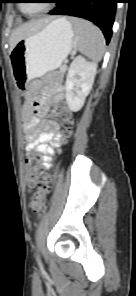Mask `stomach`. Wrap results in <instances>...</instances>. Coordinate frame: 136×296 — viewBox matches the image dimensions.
Returning <instances> with one entry per match:
<instances>
[{
    "label": "stomach",
    "instance_id": "stomach-1",
    "mask_svg": "<svg viewBox=\"0 0 136 296\" xmlns=\"http://www.w3.org/2000/svg\"><path fill=\"white\" fill-rule=\"evenodd\" d=\"M73 36L71 23L61 17L17 42L10 59L18 90H28L25 83L59 68L72 48Z\"/></svg>",
    "mask_w": 136,
    "mask_h": 296
}]
</instances>
